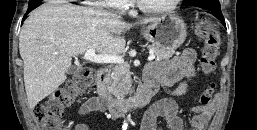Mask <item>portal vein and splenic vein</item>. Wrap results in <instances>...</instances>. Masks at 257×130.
<instances>
[{"label": "portal vein and splenic vein", "mask_w": 257, "mask_h": 130, "mask_svg": "<svg viewBox=\"0 0 257 130\" xmlns=\"http://www.w3.org/2000/svg\"><path fill=\"white\" fill-rule=\"evenodd\" d=\"M83 59L90 61L92 63H114V64H123L124 59L121 56L115 55H96L94 49H89L85 52ZM155 59V54L153 51L150 52L148 61Z\"/></svg>", "instance_id": "18ae733b"}]
</instances>
